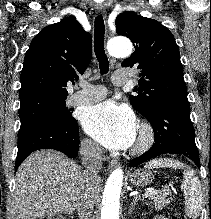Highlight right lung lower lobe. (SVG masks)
Returning a JSON list of instances; mask_svg holds the SVG:
<instances>
[{
    "mask_svg": "<svg viewBox=\"0 0 211 219\" xmlns=\"http://www.w3.org/2000/svg\"><path fill=\"white\" fill-rule=\"evenodd\" d=\"M79 128L76 120L63 123L42 119L20 127L15 171L25 158L39 149H55L74 158L79 151Z\"/></svg>",
    "mask_w": 211,
    "mask_h": 219,
    "instance_id": "98d812e1",
    "label": "right lung lower lobe"
}]
</instances>
